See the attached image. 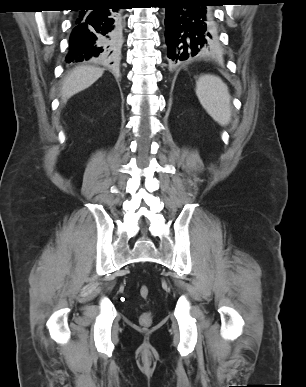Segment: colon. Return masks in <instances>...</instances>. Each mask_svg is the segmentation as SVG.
Masks as SVG:
<instances>
[{"mask_svg":"<svg viewBox=\"0 0 306 387\" xmlns=\"http://www.w3.org/2000/svg\"><path fill=\"white\" fill-rule=\"evenodd\" d=\"M139 295L143 299H147L150 295V289L147 285H141L139 288ZM153 321V316L150 312H144L139 317V323L142 327H150Z\"/></svg>","mask_w":306,"mask_h":387,"instance_id":"5ec220e1","label":"colon"}]
</instances>
